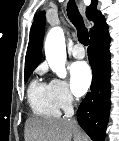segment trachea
<instances>
[{"label": "trachea", "mask_w": 119, "mask_h": 141, "mask_svg": "<svg viewBox=\"0 0 119 141\" xmlns=\"http://www.w3.org/2000/svg\"><path fill=\"white\" fill-rule=\"evenodd\" d=\"M67 15L70 21L74 24L78 31V40L83 45L87 46L89 45V36H88V30L84 25L83 18L81 14L79 13V10L74 2V0H71L68 2L67 5Z\"/></svg>", "instance_id": "3493384b"}]
</instances>
